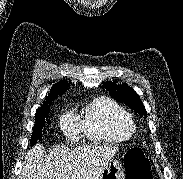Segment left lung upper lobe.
Returning a JSON list of instances; mask_svg holds the SVG:
<instances>
[{"label": "left lung upper lobe", "mask_w": 183, "mask_h": 179, "mask_svg": "<svg viewBox=\"0 0 183 179\" xmlns=\"http://www.w3.org/2000/svg\"><path fill=\"white\" fill-rule=\"evenodd\" d=\"M116 82L107 81L103 84V88L109 91L112 98L119 102H122L130 106L134 111L138 112L140 115L146 116L145 107L142 104L140 97L137 93L128 86V84L123 83L122 85H116Z\"/></svg>", "instance_id": "obj_1"}]
</instances>
